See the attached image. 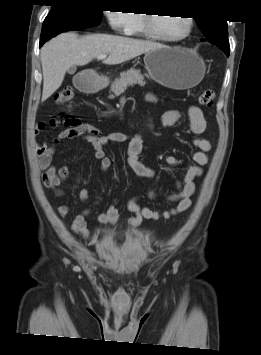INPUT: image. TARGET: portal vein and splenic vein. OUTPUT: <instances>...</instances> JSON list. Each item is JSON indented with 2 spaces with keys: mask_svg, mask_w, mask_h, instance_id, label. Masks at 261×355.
I'll return each mask as SVG.
<instances>
[{
  "mask_svg": "<svg viewBox=\"0 0 261 355\" xmlns=\"http://www.w3.org/2000/svg\"><path fill=\"white\" fill-rule=\"evenodd\" d=\"M107 57V54H102L97 57L98 60H103Z\"/></svg>",
  "mask_w": 261,
  "mask_h": 355,
  "instance_id": "obj_1",
  "label": "portal vein and splenic vein"
}]
</instances>
